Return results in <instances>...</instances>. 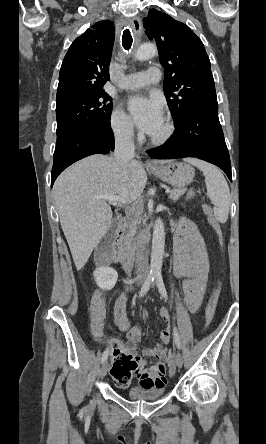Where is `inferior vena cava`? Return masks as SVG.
<instances>
[{"instance_id": "1", "label": "inferior vena cava", "mask_w": 266, "mask_h": 444, "mask_svg": "<svg viewBox=\"0 0 266 444\" xmlns=\"http://www.w3.org/2000/svg\"><path fill=\"white\" fill-rule=\"evenodd\" d=\"M134 141H133V129L128 128L123 133L118 134L115 137V150L114 157L117 161L122 164H128L134 158ZM140 255L138 258V269L142 271L148 270V258L141 254L144 249V245L142 244V237L140 236V240L138 242Z\"/></svg>"}]
</instances>
